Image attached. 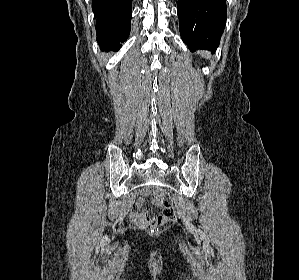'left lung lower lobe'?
<instances>
[{"instance_id": "left-lung-lower-lobe-1", "label": "left lung lower lobe", "mask_w": 299, "mask_h": 280, "mask_svg": "<svg viewBox=\"0 0 299 280\" xmlns=\"http://www.w3.org/2000/svg\"><path fill=\"white\" fill-rule=\"evenodd\" d=\"M181 38L188 48L215 50L227 19L226 0H178Z\"/></svg>"}]
</instances>
